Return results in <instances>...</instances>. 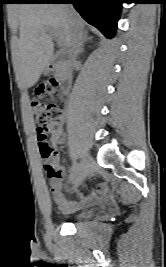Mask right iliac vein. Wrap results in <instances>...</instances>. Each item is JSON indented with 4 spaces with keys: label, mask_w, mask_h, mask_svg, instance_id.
<instances>
[{
    "label": "right iliac vein",
    "mask_w": 166,
    "mask_h": 267,
    "mask_svg": "<svg viewBox=\"0 0 166 267\" xmlns=\"http://www.w3.org/2000/svg\"><path fill=\"white\" fill-rule=\"evenodd\" d=\"M92 165L93 161L89 156V154L87 152H82L80 170L75 180V187H78L85 180V178L91 173Z\"/></svg>",
    "instance_id": "right-iliac-vein-1"
}]
</instances>
